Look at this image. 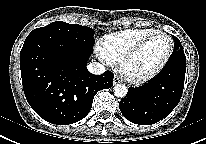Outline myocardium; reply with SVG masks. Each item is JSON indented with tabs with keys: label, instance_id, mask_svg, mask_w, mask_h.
Returning <instances> with one entry per match:
<instances>
[{
	"label": "myocardium",
	"instance_id": "obj_1",
	"mask_svg": "<svg viewBox=\"0 0 206 144\" xmlns=\"http://www.w3.org/2000/svg\"><path fill=\"white\" fill-rule=\"evenodd\" d=\"M162 35L165 36L169 41V50L164 58V60L152 71L144 73V74H134L129 70L130 62L139 54V52L144 48V46L151 40L153 37ZM174 52V42L169 34L163 31H155L143 39H141L138 43H136L120 60V71L124 75L126 79L131 82H145L154 77H156L169 63L172 54Z\"/></svg>",
	"mask_w": 206,
	"mask_h": 144
}]
</instances>
